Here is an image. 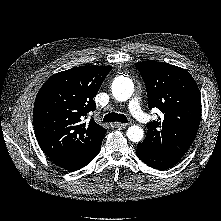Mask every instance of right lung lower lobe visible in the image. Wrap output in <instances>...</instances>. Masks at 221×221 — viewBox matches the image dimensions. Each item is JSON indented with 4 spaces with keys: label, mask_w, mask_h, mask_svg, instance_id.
Masks as SVG:
<instances>
[{
    "label": "right lung lower lobe",
    "mask_w": 221,
    "mask_h": 221,
    "mask_svg": "<svg viewBox=\"0 0 221 221\" xmlns=\"http://www.w3.org/2000/svg\"><path fill=\"white\" fill-rule=\"evenodd\" d=\"M101 146H99L96 150L92 151L90 154L78 158V159H62V158H55L51 159L55 164L60 166L61 168H64L66 170H78L82 167L86 166L99 152H100Z\"/></svg>",
    "instance_id": "right-lung-lower-lobe-1"
}]
</instances>
